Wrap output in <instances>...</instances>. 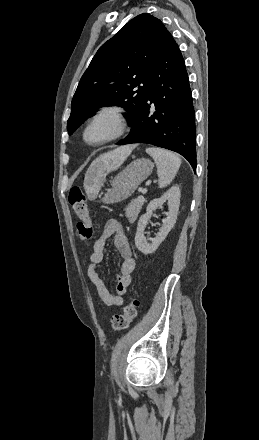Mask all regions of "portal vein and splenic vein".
Returning <instances> with one entry per match:
<instances>
[{
	"instance_id": "portal-vein-and-splenic-vein-1",
	"label": "portal vein and splenic vein",
	"mask_w": 259,
	"mask_h": 440,
	"mask_svg": "<svg viewBox=\"0 0 259 440\" xmlns=\"http://www.w3.org/2000/svg\"><path fill=\"white\" fill-rule=\"evenodd\" d=\"M138 201H144V196L143 195H140V196H138Z\"/></svg>"
}]
</instances>
